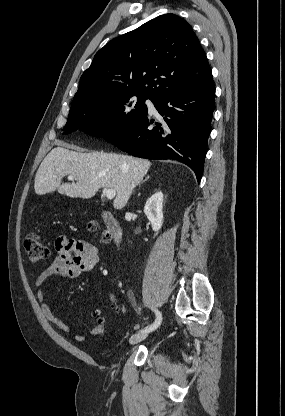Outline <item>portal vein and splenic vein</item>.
Masks as SVG:
<instances>
[{"label":"portal vein and splenic vein","mask_w":285,"mask_h":416,"mask_svg":"<svg viewBox=\"0 0 285 416\" xmlns=\"http://www.w3.org/2000/svg\"><path fill=\"white\" fill-rule=\"evenodd\" d=\"M68 180H75L74 176H68ZM103 196H106L107 200H113L116 196L115 190H111V188H103L102 190Z\"/></svg>","instance_id":"portal-vein-and-splenic-vein-1"}]
</instances>
